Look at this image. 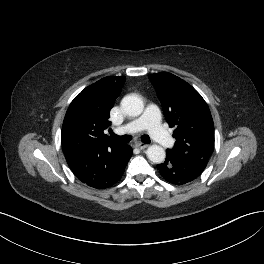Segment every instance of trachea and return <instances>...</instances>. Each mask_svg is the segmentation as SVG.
<instances>
[{"label": "trachea", "instance_id": "obj_1", "mask_svg": "<svg viewBox=\"0 0 264 264\" xmlns=\"http://www.w3.org/2000/svg\"><path fill=\"white\" fill-rule=\"evenodd\" d=\"M110 137L116 141L123 142V143H128L131 140V137L129 135L118 136V135L111 133ZM141 141L144 143H150V139L147 135H143L141 137Z\"/></svg>", "mask_w": 264, "mask_h": 264}]
</instances>
